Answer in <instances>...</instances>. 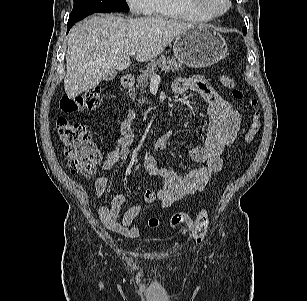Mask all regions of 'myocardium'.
<instances>
[{
    "mask_svg": "<svg viewBox=\"0 0 307 301\" xmlns=\"http://www.w3.org/2000/svg\"><path fill=\"white\" fill-rule=\"evenodd\" d=\"M187 5L195 12L210 16L212 18L220 17L227 13L231 6V0H224L225 6L221 9L210 5L206 0H185Z\"/></svg>",
    "mask_w": 307,
    "mask_h": 301,
    "instance_id": "f54148a6",
    "label": "myocardium"
}]
</instances>
